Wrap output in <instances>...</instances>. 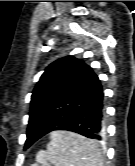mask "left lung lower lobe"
<instances>
[{"label":"left lung lower lobe","instance_id":"left-lung-lower-lobe-1","mask_svg":"<svg viewBox=\"0 0 135 166\" xmlns=\"http://www.w3.org/2000/svg\"><path fill=\"white\" fill-rule=\"evenodd\" d=\"M105 107L101 81L89 66L82 70L70 91L65 105L47 121L30 123L25 149L41 137L55 130H68L94 140H102Z\"/></svg>","mask_w":135,"mask_h":166}]
</instances>
